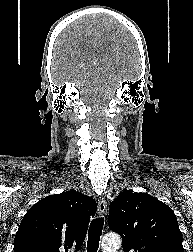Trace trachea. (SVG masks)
Returning <instances> with one entry per match:
<instances>
[{
	"label": "trachea",
	"instance_id": "obj_1",
	"mask_svg": "<svg viewBox=\"0 0 193 252\" xmlns=\"http://www.w3.org/2000/svg\"><path fill=\"white\" fill-rule=\"evenodd\" d=\"M104 225V218L92 220L88 231L87 250L88 252H97L99 248L100 236Z\"/></svg>",
	"mask_w": 193,
	"mask_h": 252
}]
</instances>
